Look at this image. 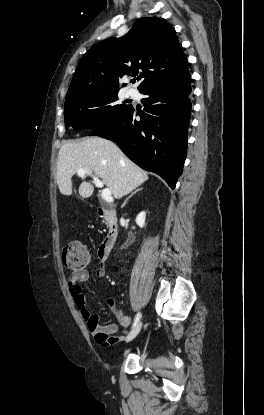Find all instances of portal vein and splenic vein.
I'll return each instance as SVG.
<instances>
[{
	"label": "portal vein and splenic vein",
	"instance_id": "18ae733b",
	"mask_svg": "<svg viewBox=\"0 0 264 415\" xmlns=\"http://www.w3.org/2000/svg\"><path fill=\"white\" fill-rule=\"evenodd\" d=\"M77 174L79 176L90 175V176L93 177V182H94L96 187H98V188H103L104 187L103 182L101 180H99L98 177L92 175V173L87 169L80 168V169H78ZM101 197L103 198V200H105L108 203L113 202L112 193H111V190L109 188H104L102 190Z\"/></svg>",
	"mask_w": 264,
	"mask_h": 415
}]
</instances>
